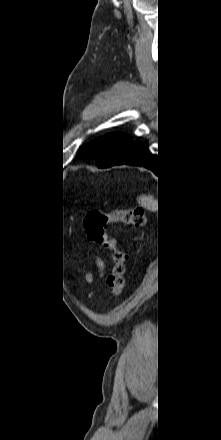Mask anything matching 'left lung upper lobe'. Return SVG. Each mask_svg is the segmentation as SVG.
Returning a JSON list of instances; mask_svg holds the SVG:
<instances>
[{"instance_id":"obj_1","label":"left lung upper lobe","mask_w":221,"mask_h":440,"mask_svg":"<svg viewBox=\"0 0 221 440\" xmlns=\"http://www.w3.org/2000/svg\"><path fill=\"white\" fill-rule=\"evenodd\" d=\"M132 138L122 134H108L80 147L81 151L95 159L99 168L114 165L126 153Z\"/></svg>"}]
</instances>
